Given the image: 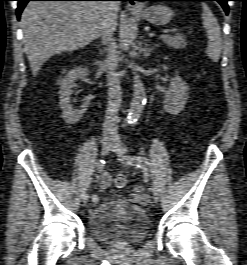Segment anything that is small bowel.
<instances>
[{
    "instance_id": "small-bowel-1",
    "label": "small bowel",
    "mask_w": 247,
    "mask_h": 265,
    "mask_svg": "<svg viewBox=\"0 0 247 265\" xmlns=\"http://www.w3.org/2000/svg\"><path fill=\"white\" fill-rule=\"evenodd\" d=\"M100 187L102 190H106L112 183L111 176L104 172L99 176ZM127 200L134 204L146 205L150 201V197L145 193V188L143 185H136L132 188Z\"/></svg>"
}]
</instances>
